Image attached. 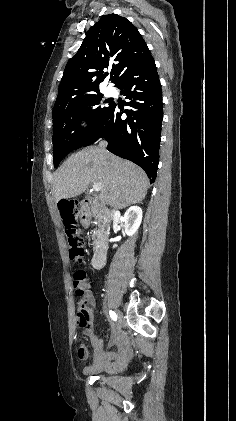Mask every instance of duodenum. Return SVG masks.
Here are the masks:
<instances>
[{"instance_id": "410a0bca", "label": "duodenum", "mask_w": 236, "mask_h": 421, "mask_svg": "<svg viewBox=\"0 0 236 421\" xmlns=\"http://www.w3.org/2000/svg\"><path fill=\"white\" fill-rule=\"evenodd\" d=\"M94 204L95 203L90 199H81L73 203V210L79 217V220L83 226L89 225ZM103 217L105 219H110L111 214L107 211H104ZM107 249V240L100 241V243L94 251L91 260L92 266L95 269H100L105 265ZM116 342L119 345V352L117 353V355L115 357H112L109 355V353L101 351L97 357L95 365L92 367L93 371L112 372L114 370L119 369L127 362L130 356V348L128 342L122 339H118Z\"/></svg>"}]
</instances>
